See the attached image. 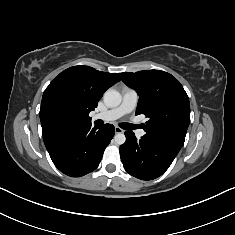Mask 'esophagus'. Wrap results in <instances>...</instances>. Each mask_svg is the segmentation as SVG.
<instances>
[{
	"label": "esophagus",
	"mask_w": 235,
	"mask_h": 235,
	"mask_svg": "<svg viewBox=\"0 0 235 235\" xmlns=\"http://www.w3.org/2000/svg\"><path fill=\"white\" fill-rule=\"evenodd\" d=\"M124 130L118 126L115 127V133L118 134V133H123Z\"/></svg>",
	"instance_id": "1"
}]
</instances>
